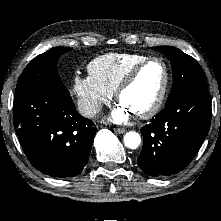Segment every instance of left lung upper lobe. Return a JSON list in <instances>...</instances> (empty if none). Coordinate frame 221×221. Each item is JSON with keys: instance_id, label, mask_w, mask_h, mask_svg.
Segmentation results:
<instances>
[{"instance_id": "5c2ea615", "label": "left lung upper lobe", "mask_w": 221, "mask_h": 221, "mask_svg": "<svg viewBox=\"0 0 221 221\" xmlns=\"http://www.w3.org/2000/svg\"><path fill=\"white\" fill-rule=\"evenodd\" d=\"M152 49L165 54L172 64L173 86L166 106L191 90L207 88L202 68L194 58L172 46Z\"/></svg>"}]
</instances>
